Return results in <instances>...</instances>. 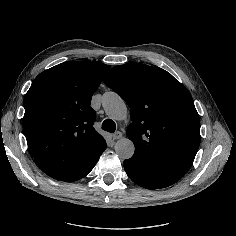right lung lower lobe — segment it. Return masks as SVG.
I'll list each match as a JSON object with an SVG mask.
<instances>
[{"label":"right lung lower lobe","instance_id":"98d812e1","mask_svg":"<svg viewBox=\"0 0 236 236\" xmlns=\"http://www.w3.org/2000/svg\"><path fill=\"white\" fill-rule=\"evenodd\" d=\"M106 149V147L98 152L96 155L92 156L87 162H85L77 171H75L69 178H67L65 181L67 182H73L77 181L83 177H85L95 166L97 163L99 157L103 153V151Z\"/></svg>","mask_w":236,"mask_h":236}]
</instances>
